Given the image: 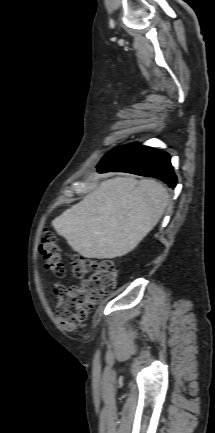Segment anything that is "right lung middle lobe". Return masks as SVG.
I'll return each mask as SVG.
<instances>
[{"label": "right lung middle lobe", "instance_id": "dd1d6c3e", "mask_svg": "<svg viewBox=\"0 0 215 433\" xmlns=\"http://www.w3.org/2000/svg\"><path fill=\"white\" fill-rule=\"evenodd\" d=\"M127 146L129 145H125V146H121V147H117L113 150H111L110 152H108L101 160L100 163H104L106 161H108L109 159H111L113 156H115L116 154H118L119 152H121L123 149H125Z\"/></svg>", "mask_w": 215, "mask_h": 433}]
</instances>
